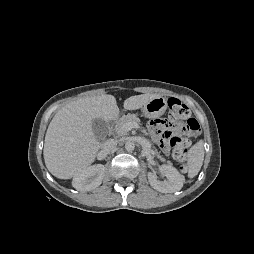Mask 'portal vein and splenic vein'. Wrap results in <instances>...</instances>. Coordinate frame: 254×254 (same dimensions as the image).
<instances>
[{"label": "portal vein and splenic vein", "instance_id": "18ae733b", "mask_svg": "<svg viewBox=\"0 0 254 254\" xmlns=\"http://www.w3.org/2000/svg\"><path fill=\"white\" fill-rule=\"evenodd\" d=\"M138 127H139L138 124L129 122V123H126V124L123 126V130L126 131V132H128V131H130L131 129H133V128H138Z\"/></svg>", "mask_w": 254, "mask_h": 254}]
</instances>
